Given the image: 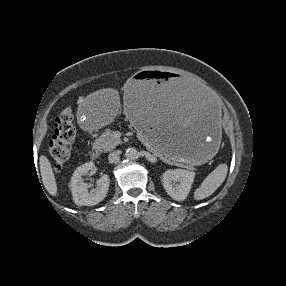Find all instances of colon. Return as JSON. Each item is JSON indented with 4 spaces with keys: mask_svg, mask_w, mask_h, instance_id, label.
Segmentation results:
<instances>
[{
    "mask_svg": "<svg viewBox=\"0 0 286 286\" xmlns=\"http://www.w3.org/2000/svg\"><path fill=\"white\" fill-rule=\"evenodd\" d=\"M54 127V135L49 142V156L54 171H60L71 156L77 134L70 107L61 111L56 118Z\"/></svg>",
    "mask_w": 286,
    "mask_h": 286,
    "instance_id": "colon-1",
    "label": "colon"
}]
</instances>
